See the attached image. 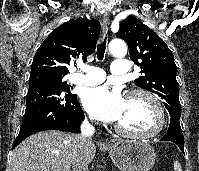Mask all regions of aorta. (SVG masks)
Returning <instances> with one entry per match:
<instances>
[{
    "label": "aorta",
    "instance_id": "aorta-1",
    "mask_svg": "<svg viewBox=\"0 0 199 171\" xmlns=\"http://www.w3.org/2000/svg\"><path fill=\"white\" fill-rule=\"evenodd\" d=\"M109 51L115 56H124L127 52V47L124 41L114 39L109 44Z\"/></svg>",
    "mask_w": 199,
    "mask_h": 171
}]
</instances>
